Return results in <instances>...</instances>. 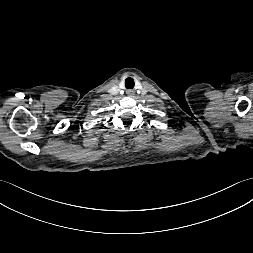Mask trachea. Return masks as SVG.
Listing matches in <instances>:
<instances>
[{"label":"trachea","instance_id":"obj_1","mask_svg":"<svg viewBox=\"0 0 253 253\" xmlns=\"http://www.w3.org/2000/svg\"><path fill=\"white\" fill-rule=\"evenodd\" d=\"M125 87L127 89H133V87H134V80H133V78H131V77L126 78V80H125Z\"/></svg>","mask_w":253,"mask_h":253}]
</instances>
